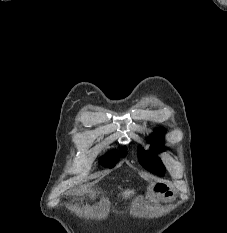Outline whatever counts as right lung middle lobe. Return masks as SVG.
Instances as JSON below:
<instances>
[{
	"mask_svg": "<svg viewBox=\"0 0 227 233\" xmlns=\"http://www.w3.org/2000/svg\"><path fill=\"white\" fill-rule=\"evenodd\" d=\"M118 161V158L114 154H107L106 157H102L101 163L104 166L114 167V163Z\"/></svg>",
	"mask_w": 227,
	"mask_h": 233,
	"instance_id": "obj_1",
	"label": "right lung middle lobe"
}]
</instances>
